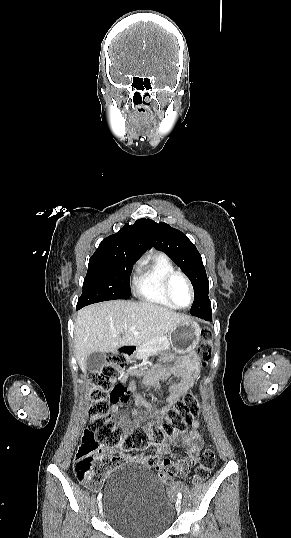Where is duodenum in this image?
<instances>
[{"label":"duodenum","instance_id":"obj_1","mask_svg":"<svg viewBox=\"0 0 291 538\" xmlns=\"http://www.w3.org/2000/svg\"><path fill=\"white\" fill-rule=\"evenodd\" d=\"M123 353L127 356V357H132L135 353V348L134 347H125L123 349Z\"/></svg>","mask_w":291,"mask_h":538}]
</instances>
